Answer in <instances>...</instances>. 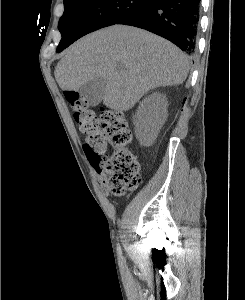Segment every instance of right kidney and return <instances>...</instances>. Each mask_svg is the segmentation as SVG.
<instances>
[{"mask_svg": "<svg viewBox=\"0 0 245 300\" xmlns=\"http://www.w3.org/2000/svg\"><path fill=\"white\" fill-rule=\"evenodd\" d=\"M167 106L166 97L157 92L140 103L134 125L136 138L142 145L149 146L156 139L167 118Z\"/></svg>", "mask_w": 245, "mask_h": 300, "instance_id": "obj_1", "label": "right kidney"}]
</instances>
